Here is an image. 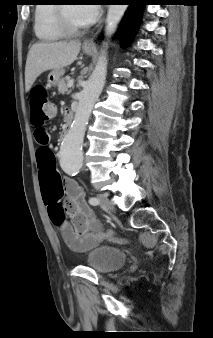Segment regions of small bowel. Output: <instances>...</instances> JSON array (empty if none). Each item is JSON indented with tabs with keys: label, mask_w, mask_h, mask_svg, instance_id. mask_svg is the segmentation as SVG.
<instances>
[{
	"label": "small bowel",
	"mask_w": 213,
	"mask_h": 338,
	"mask_svg": "<svg viewBox=\"0 0 213 338\" xmlns=\"http://www.w3.org/2000/svg\"><path fill=\"white\" fill-rule=\"evenodd\" d=\"M47 150L46 157L39 161V181L44 203L51 208L56 203L55 198L63 186L67 195L64 208L71 222L63 221L59 224L62 237L71 250L86 251L105 239L101 225L86 204L82 188L73 180H61L56 161L50 155L49 149Z\"/></svg>",
	"instance_id": "small-bowel-1"
}]
</instances>
